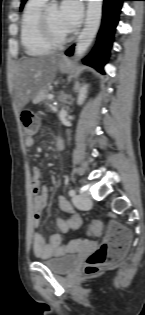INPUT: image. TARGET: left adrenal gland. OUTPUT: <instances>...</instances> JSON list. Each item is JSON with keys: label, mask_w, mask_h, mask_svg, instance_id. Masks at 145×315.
Instances as JSON below:
<instances>
[{"label": "left adrenal gland", "mask_w": 145, "mask_h": 315, "mask_svg": "<svg viewBox=\"0 0 145 315\" xmlns=\"http://www.w3.org/2000/svg\"><path fill=\"white\" fill-rule=\"evenodd\" d=\"M78 89H79L78 87L75 88L76 91H77ZM64 99H65V103H67V101H66L67 97H66V96H65Z\"/></svg>", "instance_id": "obj_1"}]
</instances>
